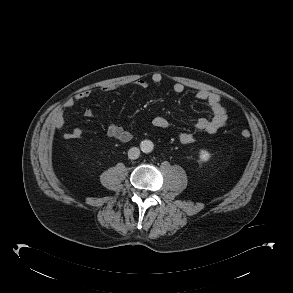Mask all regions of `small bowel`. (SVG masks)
<instances>
[{"instance_id": "small-bowel-1", "label": "small bowel", "mask_w": 293, "mask_h": 293, "mask_svg": "<svg viewBox=\"0 0 293 293\" xmlns=\"http://www.w3.org/2000/svg\"><path fill=\"white\" fill-rule=\"evenodd\" d=\"M162 81V75L159 73H154L151 76V82L153 84H160ZM135 85L141 90H147L149 88V82L144 79H138L135 81ZM118 89L117 85H108L103 87L101 91L103 93L112 92ZM185 90L184 85L181 83H175L173 85V91L177 94L183 93ZM91 95L89 90H84L77 93L73 98L69 99L63 108L56 110L52 113L49 119V124L53 128H63L65 125V112L75 106L76 103L88 98ZM194 97L203 101L207 104L211 116L209 118H200L195 124V133H206L214 134L219 129L225 126L227 123V112L222 104L221 96L217 93L210 92L208 90H198L196 91ZM84 116L86 118H93L95 112L91 108H86L84 111ZM152 124L155 128L165 130L169 128V122L164 117H156L153 119ZM191 132H184L179 135V141L182 144H191L195 141L196 135ZM107 135L111 138H115L121 142H128L132 139V133L122 126L111 123L107 127ZM82 136L81 128H74L70 132H67L63 137L67 140L78 139Z\"/></svg>"}]
</instances>
